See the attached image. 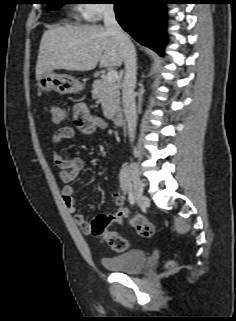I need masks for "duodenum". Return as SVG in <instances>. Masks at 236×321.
<instances>
[{"label":"duodenum","instance_id":"obj_1","mask_svg":"<svg viewBox=\"0 0 236 321\" xmlns=\"http://www.w3.org/2000/svg\"><path fill=\"white\" fill-rule=\"evenodd\" d=\"M111 120L114 123V125L120 127L123 125L124 123V114L122 112H115L112 116H111Z\"/></svg>","mask_w":236,"mask_h":321}]
</instances>
